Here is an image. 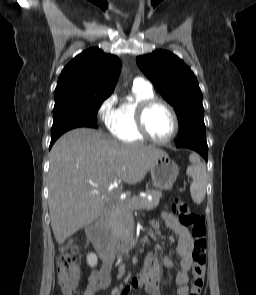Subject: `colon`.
Masks as SVG:
<instances>
[{
	"label": "colon",
	"mask_w": 256,
	"mask_h": 295,
	"mask_svg": "<svg viewBox=\"0 0 256 295\" xmlns=\"http://www.w3.org/2000/svg\"><path fill=\"white\" fill-rule=\"evenodd\" d=\"M172 210L178 215L180 222L191 227L193 236L192 252V278L189 295H202L207 262V229L204 217L194 213L188 204L175 198ZM79 246L76 242H69L62 250L58 258L59 285L63 295H78L77 285L79 282V266L76 262V255Z\"/></svg>",
	"instance_id": "obj_1"
}]
</instances>
